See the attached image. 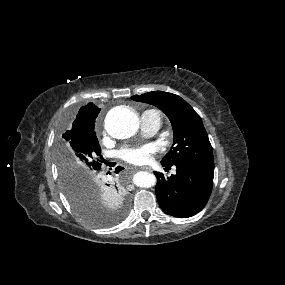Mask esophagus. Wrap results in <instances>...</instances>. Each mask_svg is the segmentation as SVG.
<instances>
[{
    "label": "esophagus",
    "mask_w": 285,
    "mask_h": 285,
    "mask_svg": "<svg viewBox=\"0 0 285 285\" xmlns=\"http://www.w3.org/2000/svg\"><path fill=\"white\" fill-rule=\"evenodd\" d=\"M142 170L149 171V172L152 171L150 167H143Z\"/></svg>",
    "instance_id": "1"
}]
</instances>
